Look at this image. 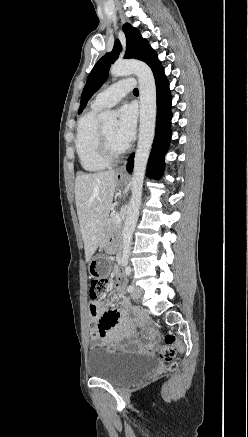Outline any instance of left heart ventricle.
Instances as JSON below:
<instances>
[{"label":"left heart ventricle","mask_w":248,"mask_h":437,"mask_svg":"<svg viewBox=\"0 0 248 437\" xmlns=\"http://www.w3.org/2000/svg\"><path fill=\"white\" fill-rule=\"evenodd\" d=\"M104 132L109 140L111 147L114 150H119L125 145L119 142L115 136L116 122H111L103 126Z\"/></svg>","instance_id":"1"}]
</instances>
